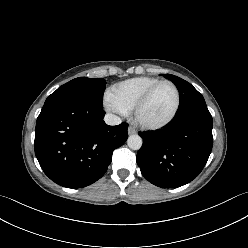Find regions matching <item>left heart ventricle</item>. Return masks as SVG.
<instances>
[{
	"label": "left heart ventricle",
	"mask_w": 248,
	"mask_h": 248,
	"mask_svg": "<svg viewBox=\"0 0 248 248\" xmlns=\"http://www.w3.org/2000/svg\"><path fill=\"white\" fill-rule=\"evenodd\" d=\"M175 92L170 85H162L155 90L141 112L143 120L159 123L165 120L175 106Z\"/></svg>",
	"instance_id": "1"
}]
</instances>
